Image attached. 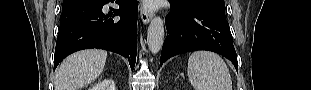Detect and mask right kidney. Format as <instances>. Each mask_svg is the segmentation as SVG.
Returning a JSON list of instances; mask_svg holds the SVG:
<instances>
[{"label":"right kidney","instance_id":"right-kidney-1","mask_svg":"<svg viewBox=\"0 0 311 90\" xmlns=\"http://www.w3.org/2000/svg\"><path fill=\"white\" fill-rule=\"evenodd\" d=\"M89 90H115V84L112 80H104L89 88Z\"/></svg>","mask_w":311,"mask_h":90}]
</instances>
